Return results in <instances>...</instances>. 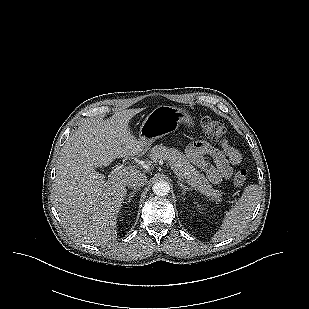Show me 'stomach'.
<instances>
[{
  "mask_svg": "<svg viewBox=\"0 0 309 309\" xmlns=\"http://www.w3.org/2000/svg\"><path fill=\"white\" fill-rule=\"evenodd\" d=\"M182 123L188 127L194 125L192 118L184 109L167 105L158 106L144 119L138 139L149 147L155 140L177 130Z\"/></svg>",
  "mask_w": 309,
  "mask_h": 309,
  "instance_id": "1",
  "label": "stomach"
}]
</instances>
